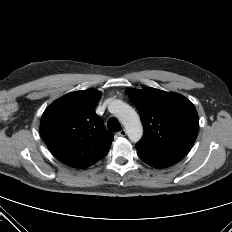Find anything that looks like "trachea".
I'll use <instances>...</instances> for the list:
<instances>
[{"label":"trachea","instance_id":"3493384b","mask_svg":"<svg viewBox=\"0 0 232 232\" xmlns=\"http://www.w3.org/2000/svg\"><path fill=\"white\" fill-rule=\"evenodd\" d=\"M107 128L111 132H118V131H120L122 129L119 121L115 117H111L108 120Z\"/></svg>","mask_w":232,"mask_h":232}]
</instances>
